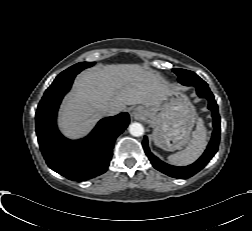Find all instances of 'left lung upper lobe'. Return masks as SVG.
Masks as SVG:
<instances>
[{
	"mask_svg": "<svg viewBox=\"0 0 252 231\" xmlns=\"http://www.w3.org/2000/svg\"><path fill=\"white\" fill-rule=\"evenodd\" d=\"M173 72L177 75L178 81L183 85H186L190 82L202 80L198 75L189 70L175 68L173 69Z\"/></svg>",
	"mask_w": 252,
	"mask_h": 231,
	"instance_id": "left-lung-upper-lobe-1",
	"label": "left lung upper lobe"
}]
</instances>
